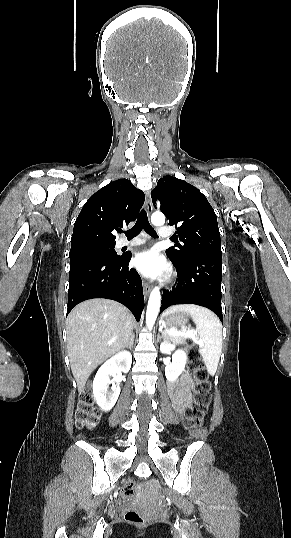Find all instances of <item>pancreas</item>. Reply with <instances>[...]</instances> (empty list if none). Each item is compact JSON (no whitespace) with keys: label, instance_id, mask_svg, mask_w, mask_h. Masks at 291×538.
I'll return each mask as SVG.
<instances>
[{"label":"pancreas","instance_id":"1","mask_svg":"<svg viewBox=\"0 0 291 538\" xmlns=\"http://www.w3.org/2000/svg\"><path fill=\"white\" fill-rule=\"evenodd\" d=\"M164 339L173 342L174 344H185L186 337L181 335H170L168 333H163Z\"/></svg>","mask_w":291,"mask_h":538}]
</instances>
